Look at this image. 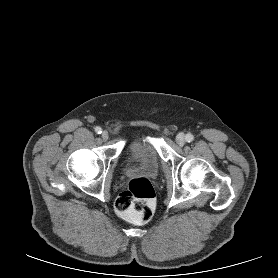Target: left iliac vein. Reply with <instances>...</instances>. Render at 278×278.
<instances>
[{
	"mask_svg": "<svg viewBox=\"0 0 278 278\" xmlns=\"http://www.w3.org/2000/svg\"><path fill=\"white\" fill-rule=\"evenodd\" d=\"M176 143L179 145V146H183L185 144V136L183 133H179L177 136H176Z\"/></svg>",
	"mask_w": 278,
	"mask_h": 278,
	"instance_id": "left-iliac-vein-1",
	"label": "left iliac vein"
}]
</instances>
